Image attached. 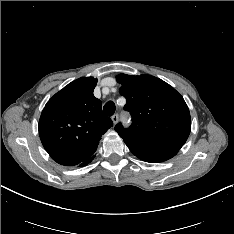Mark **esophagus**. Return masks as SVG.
<instances>
[{"label": "esophagus", "instance_id": "1", "mask_svg": "<svg viewBox=\"0 0 234 234\" xmlns=\"http://www.w3.org/2000/svg\"><path fill=\"white\" fill-rule=\"evenodd\" d=\"M111 120L113 122V124H117L118 120H119V115L118 114H114L112 117H111Z\"/></svg>", "mask_w": 234, "mask_h": 234}]
</instances>
